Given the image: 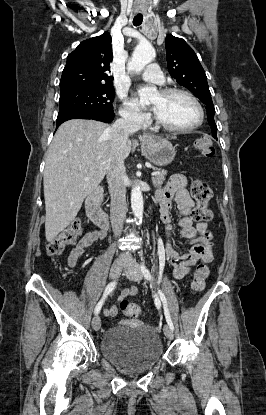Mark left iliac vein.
Instances as JSON below:
<instances>
[{"mask_svg": "<svg viewBox=\"0 0 266 415\" xmlns=\"http://www.w3.org/2000/svg\"><path fill=\"white\" fill-rule=\"evenodd\" d=\"M127 277L131 281L139 282L142 279V272L137 263L132 260L131 266L126 270ZM164 334L168 339H173V330L169 325H165L163 328Z\"/></svg>", "mask_w": 266, "mask_h": 415, "instance_id": "left-iliac-vein-1", "label": "left iliac vein"}]
</instances>
